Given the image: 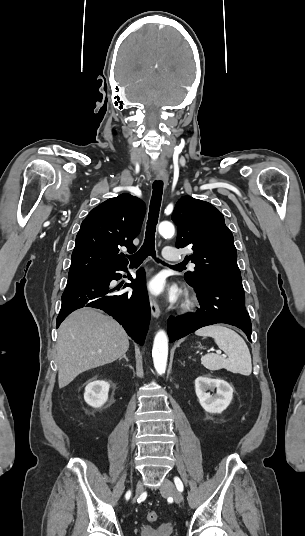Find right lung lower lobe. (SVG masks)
Segmentation results:
<instances>
[{
	"label": "right lung lower lobe",
	"mask_w": 305,
	"mask_h": 536,
	"mask_svg": "<svg viewBox=\"0 0 305 536\" xmlns=\"http://www.w3.org/2000/svg\"><path fill=\"white\" fill-rule=\"evenodd\" d=\"M117 270L126 271V267L109 269L102 277L92 275L69 278L62 295V306L56 320V326L74 310L82 307L99 308L116 319L128 335L139 345H143L150 322V305L145 290L143 269L137 271L136 279H131L132 294L114 295L110 282L118 280Z\"/></svg>",
	"instance_id": "1"
}]
</instances>
